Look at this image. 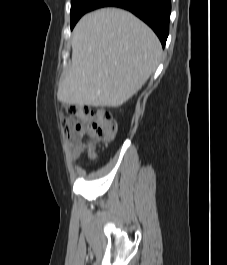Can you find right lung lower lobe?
Instances as JSON below:
<instances>
[{
  "mask_svg": "<svg viewBox=\"0 0 227 265\" xmlns=\"http://www.w3.org/2000/svg\"><path fill=\"white\" fill-rule=\"evenodd\" d=\"M118 7L128 10L148 24L165 46L169 34L171 0H97L92 10Z\"/></svg>",
  "mask_w": 227,
  "mask_h": 265,
  "instance_id": "right-lung-lower-lobe-1",
  "label": "right lung lower lobe"
}]
</instances>
